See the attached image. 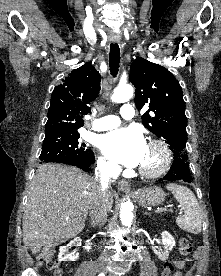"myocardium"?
<instances>
[{
    "mask_svg": "<svg viewBox=\"0 0 221 276\" xmlns=\"http://www.w3.org/2000/svg\"><path fill=\"white\" fill-rule=\"evenodd\" d=\"M149 148L156 149L160 154V161L154 168L140 167L139 173L146 178H156L167 172L172 162V154L168 145L160 139H152L148 143Z\"/></svg>",
    "mask_w": 221,
    "mask_h": 276,
    "instance_id": "f54148a6",
    "label": "myocardium"
}]
</instances>
